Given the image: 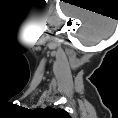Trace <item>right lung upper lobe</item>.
Masks as SVG:
<instances>
[{
  "label": "right lung upper lobe",
  "instance_id": "right-lung-upper-lobe-1",
  "mask_svg": "<svg viewBox=\"0 0 118 118\" xmlns=\"http://www.w3.org/2000/svg\"><path fill=\"white\" fill-rule=\"evenodd\" d=\"M48 112H50V113H64L65 111L61 110V109H53V108L49 107Z\"/></svg>",
  "mask_w": 118,
  "mask_h": 118
}]
</instances>
